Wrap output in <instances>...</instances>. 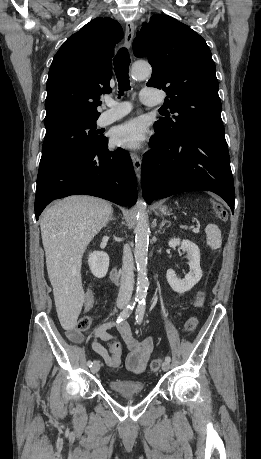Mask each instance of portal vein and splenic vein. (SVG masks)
<instances>
[{"instance_id": "obj_1", "label": "portal vein and splenic vein", "mask_w": 261, "mask_h": 459, "mask_svg": "<svg viewBox=\"0 0 261 459\" xmlns=\"http://www.w3.org/2000/svg\"><path fill=\"white\" fill-rule=\"evenodd\" d=\"M192 231H193L194 233H199V232H200L199 228H193Z\"/></svg>"}]
</instances>
